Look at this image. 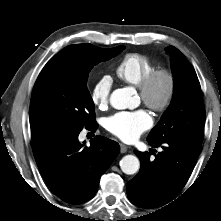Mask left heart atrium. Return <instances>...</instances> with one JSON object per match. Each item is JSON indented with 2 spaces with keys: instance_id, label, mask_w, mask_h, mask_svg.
<instances>
[{
  "instance_id": "left-heart-atrium-1",
  "label": "left heart atrium",
  "mask_w": 221,
  "mask_h": 221,
  "mask_svg": "<svg viewBox=\"0 0 221 221\" xmlns=\"http://www.w3.org/2000/svg\"><path fill=\"white\" fill-rule=\"evenodd\" d=\"M151 125V116L142 109L118 112L106 120L107 130L126 142L136 140Z\"/></svg>"
}]
</instances>
